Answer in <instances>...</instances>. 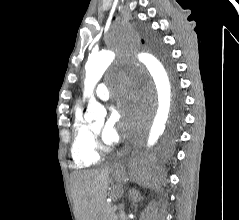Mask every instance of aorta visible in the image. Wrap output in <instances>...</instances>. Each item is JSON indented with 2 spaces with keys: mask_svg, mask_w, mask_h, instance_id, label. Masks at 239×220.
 Listing matches in <instances>:
<instances>
[{
  "mask_svg": "<svg viewBox=\"0 0 239 220\" xmlns=\"http://www.w3.org/2000/svg\"><path fill=\"white\" fill-rule=\"evenodd\" d=\"M116 35L117 40H130L131 38L130 35H127L126 33H116ZM120 46L131 45H112L109 49L92 54L88 58L85 66L86 79L84 90V95L89 97L86 114V119L88 121L103 119L106 116V109L96 101L93 95V90L115 58L116 53H111V48H120ZM137 55H140V64H143L146 67L148 75L151 77L158 95V108L147 139V147L150 148L157 143L168 120L171 105V86L166 67L157 57L149 54V51H138Z\"/></svg>",
  "mask_w": 239,
  "mask_h": 220,
  "instance_id": "obj_1",
  "label": "aorta"
}]
</instances>
